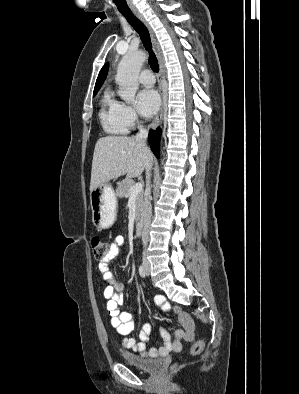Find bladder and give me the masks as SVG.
I'll use <instances>...</instances> for the list:
<instances>
[{
  "instance_id": "31cf9c89",
  "label": "bladder",
  "mask_w": 299,
  "mask_h": 394,
  "mask_svg": "<svg viewBox=\"0 0 299 394\" xmlns=\"http://www.w3.org/2000/svg\"><path fill=\"white\" fill-rule=\"evenodd\" d=\"M121 358L130 367L143 372L153 371L161 364L159 359H148L131 352H123Z\"/></svg>"
}]
</instances>
